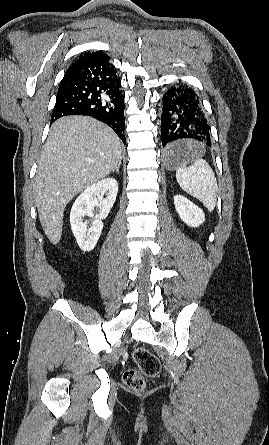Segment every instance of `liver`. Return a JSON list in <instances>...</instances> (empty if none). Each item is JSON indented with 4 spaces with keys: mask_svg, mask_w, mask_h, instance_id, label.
<instances>
[{
    "mask_svg": "<svg viewBox=\"0 0 269 445\" xmlns=\"http://www.w3.org/2000/svg\"><path fill=\"white\" fill-rule=\"evenodd\" d=\"M121 147L115 132L91 117L67 116L52 125L34 182L40 223L52 244L60 241L67 204L116 170Z\"/></svg>",
    "mask_w": 269,
    "mask_h": 445,
    "instance_id": "liver-1",
    "label": "liver"
}]
</instances>
